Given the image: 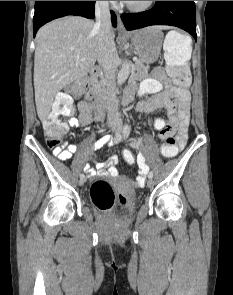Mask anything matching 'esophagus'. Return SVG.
<instances>
[{"label": "esophagus", "mask_w": 233, "mask_h": 295, "mask_svg": "<svg viewBox=\"0 0 233 295\" xmlns=\"http://www.w3.org/2000/svg\"><path fill=\"white\" fill-rule=\"evenodd\" d=\"M117 30L119 32H126V28L122 22L120 14H117Z\"/></svg>", "instance_id": "34e87169"}]
</instances>
